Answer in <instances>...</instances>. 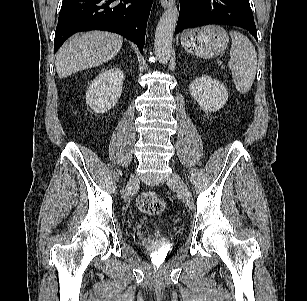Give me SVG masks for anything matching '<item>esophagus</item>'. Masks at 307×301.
<instances>
[{"instance_id": "1", "label": "esophagus", "mask_w": 307, "mask_h": 301, "mask_svg": "<svg viewBox=\"0 0 307 301\" xmlns=\"http://www.w3.org/2000/svg\"><path fill=\"white\" fill-rule=\"evenodd\" d=\"M160 3L163 8H168L173 4L172 0H160Z\"/></svg>"}]
</instances>
